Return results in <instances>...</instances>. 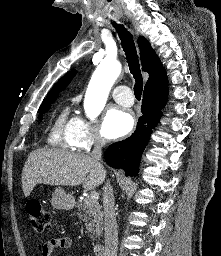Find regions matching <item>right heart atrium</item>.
Masks as SVG:
<instances>
[{"instance_id":"d8ad5b80","label":"right heart atrium","mask_w":221,"mask_h":256,"mask_svg":"<svg viewBox=\"0 0 221 256\" xmlns=\"http://www.w3.org/2000/svg\"><path fill=\"white\" fill-rule=\"evenodd\" d=\"M71 137L75 148L88 151L93 147L102 146L105 140L98 128L81 116L73 118Z\"/></svg>"}]
</instances>
